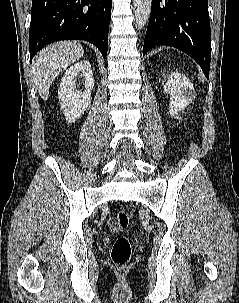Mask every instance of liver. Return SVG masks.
Listing matches in <instances>:
<instances>
[{"label": "liver", "mask_w": 239, "mask_h": 303, "mask_svg": "<svg viewBox=\"0 0 239 303\" xmlns=\"http://www.w3.org/2000/svg\"><path fill=\"white\" fill-rule=\"evenodd\" d=\"M84 54L83 47L76 41H60L48 45L34 58L32 73L40 97L46 101L52 81Z\"/></svg>", "instance_id": "6515ba94"}]
</instances>
